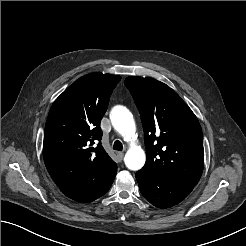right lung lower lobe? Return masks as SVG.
I'll return each mask as SVG.
<instances>
[{
    "label": "right lung lower lobe",
    "mask_w": 246,
    "mask_h": 246,
    "mask_svg": "<svg viewBox=\"0 0 246 246\" xmlns=\"http://www.w3.org/2000/svg\"><path fill=\"white\" fill-rule=\"evenodd\" d=\"M116 175V174H115ZM115 175H112L106 182L92 181L86 184L60 188L61 191L69 198L83 203L96 200L104 195L111 187Z\"/></svg>",
    "instance_id": "obj_1"
}]
</instances>
